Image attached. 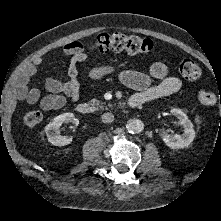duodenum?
Listing matches in <instances>:
<instances>
[{
	"label": "duodenum",
	"mask_w": 221,
	"mask_h": 221,
	"mask_svg": "<svg viewBox=\"0 0 221 221\" xmlns=\"http://www.w3.org/2000/svg\"><path fill=\"white\" fill-rule=\"evenodd\" d=\"M144 103H145L144 100L139 95H132L131 97L128 98V100L126 101V103H124V105L129 107H138ZM77 111L80 114L87 115L91 113L92 108L88 103H80L77 106Z\"/></svg>",
	"instance_id": "410a0bca"
}]
</instances>
